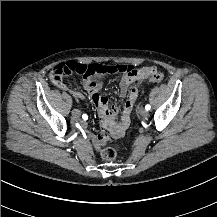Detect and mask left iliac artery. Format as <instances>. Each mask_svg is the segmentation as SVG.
Wrapping results in <instances>:
<instances>
[{"label":"left iliac artery","instance_id":"44dca946","mask_svg":"<svg viewBox=\"0 0 217 217\" xmlns=\"http://www.w3.org/2000/svg\"><path fill=\"white\" fill-rule=\"evenodd\" d=\"M150 108H151V106H150L149 104H147V105L145 106V109H146V110H150Z\"/></svg>","mask_w":217,"mask_h":217}]
</instances>
